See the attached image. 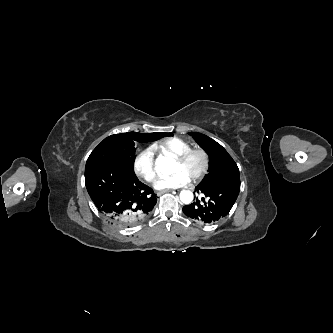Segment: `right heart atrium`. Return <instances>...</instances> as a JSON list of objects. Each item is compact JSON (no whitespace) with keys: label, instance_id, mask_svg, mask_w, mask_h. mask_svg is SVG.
<instances>
[{"label":"right heart atrium","instance_id":"right-heart-atrium-1","mask_svg":"<svg viewBox=\"0 0 333 333\" xmlns=\"http://www.w3.org/2000/svg\"><path fill=\"white\" fill-rule=\"evenodd\" d=\"M135 173L147 182H153L156 178L154 152L148 147L139 151L133 161Z\"/></svg>","mask_w":333,"mask_h":333}]
</instances>
